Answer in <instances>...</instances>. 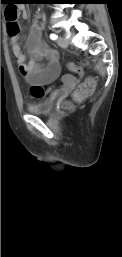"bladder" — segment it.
Listing matches in <instances>:
<instances>
[{
    "mask_svg": "<svg viewBox=\"0 0 122 257\" xmlns=\"http://www.w3.org/2000/svg\"><path fill=\"white\" fill-rule=\"evenodd\" d=\"M53 98H46L34 102L28 106V111L35 115H46L49 114L53 108Z\"/></svg>",
    "mask_w": 122,
    "mask_h": 257,
    "instance_id": "31cf9c89",
    "label": "bladder"
}]
</instances>
